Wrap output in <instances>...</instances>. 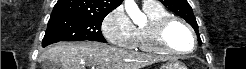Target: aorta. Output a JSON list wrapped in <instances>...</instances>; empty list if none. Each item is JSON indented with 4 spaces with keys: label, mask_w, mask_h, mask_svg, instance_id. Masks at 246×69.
Listing matches in <instances>:
<instances>
[{
    "label": "aorta",
    "mask_w": 246,
    "mask_h": 69,
    "mask_svg": "<svg viewBox=\"0 0 246 69\" xmlns=\"http://www.w3.org/2000/svg\"><path fill=\"white\" fill-rule=\"evenodd\" d=\"M124 6L126 13L134 23L139 24L146 19V16L139 10L134 0H125Z\"/></svg>",
    "instance_id": "762f6f07"
}]
</instances>
